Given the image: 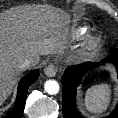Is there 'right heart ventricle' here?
<instances>
[{
	"mask_svg": "<svg viewBox=\"0 0 118 118\" xmlns=\"http://www.w3.org/2000/svg\"><path fill=\"white\" fill-rule=\"evenodd\" d=\"M87 32V28H83V29H81V31H80V35H83V34H85Z\"/></svg>",
	"mask_w": 118,
	"mask_h": 118,
	"instance_id": "obj_1",
	"label": "right heart ventricle"
}]
</instances>
